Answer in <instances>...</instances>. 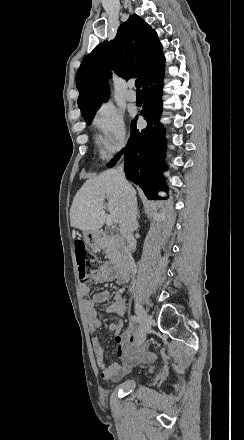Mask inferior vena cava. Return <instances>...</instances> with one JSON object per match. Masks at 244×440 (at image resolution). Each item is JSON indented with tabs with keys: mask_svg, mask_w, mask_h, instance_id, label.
<instances>
[{
	"mask_svg": "<svg viewBox=\"0 0 244 440\" xmlns=\"http://www.w3.org/2000/svg\"><path fill=\"white\" fill-rule=\"evenodd\" d=\"M116 174L121 186L124 188V206L119 218V230L122 236L127 240L128 250L134 252V250H136V240L133 236V232L138 228L135 190H133L132 186L125 180L123 164L117 168Z\"/></svg>",
	"mask_w": 244,
	"mask_h": 440,
	"instance_id": "1",
	"label": "inferior vena cava"
}]
</instances>
